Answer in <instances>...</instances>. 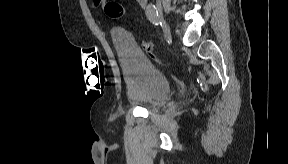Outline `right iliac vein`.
Listing matches in <instances>:
<instances>
[{
  "mask_svg": "<svg viewBox=\"0 0 288 164\" xmlns=\"http://www.w3.org/2000/svg\"><path fill=\"white\" fill-rule=\"evenodd\" d=\"M159 23L162 26L164 37L166 39H170L171 38L170 28L162 16H159Z\"/></svg>",
  "mask_w": 288,
  "mask_h": 164,
  "instance_id": "1",
  "label": "right iliac vein"
}]
</instances>
